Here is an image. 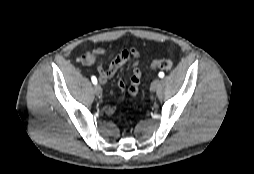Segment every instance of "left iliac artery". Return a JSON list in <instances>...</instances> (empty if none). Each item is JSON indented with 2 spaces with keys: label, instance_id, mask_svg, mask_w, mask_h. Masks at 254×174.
I'll list each match as a JSON object with an SVG mask.
<instances>
[{
  "label": "left iliac artery",
  "instance_id": "1",
  "mask_svg": "<svg viewBox=\"0 0 254 174\" xmlns=\"http://www.w3.org/2000/svg\"><path fill=\"white\" fill-rule=\"evenodd\" d=\"M158 76H159L160 78H163V77H164V72H159Z\"/></svg>",
  "mask_w": 254,
  "mask_h": 174
}]
</instances>
